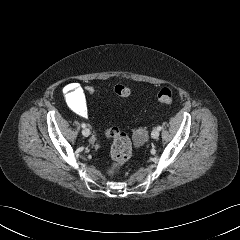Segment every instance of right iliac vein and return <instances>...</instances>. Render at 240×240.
<instances>
[{
  "label": "right iliac vein",
  "mask_w": 240,
  "mask_h": 240,
  "mask_svg": "<svg viewBox=\"0 0 240 240\" xmlns=\"http://www.w3.org/2000/svg\"><path fill=\"white\" fill-rule=\"evenodd\" d=\"M82 134L83 136L88 137L90 135V130L88 128H84L82 130Z\"/></svg>",
  "instance_id": "obj_1"
}]
</instances>
